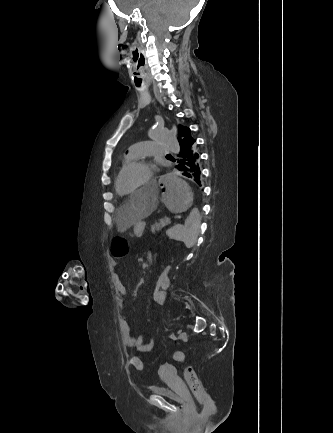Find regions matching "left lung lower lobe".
I'll use <instances>...</instances> for the list:
<instances>
[{"label":"left lung lower lobe","instance_id":"0a47b994","mask_svg":"<svg viewBox=\"0 0 333 433\" xmlns=\"http://www.w3.org/2000/svg\"><path fill=\"white\" fill-rule=\"evenodd\" d=\"M180 152L176 161L175 168L180 171L182 175L190 178L194 182L200 184V166H199V153L196 148V140H184L179 143ZM175 161V160H173Z\"/></svg>","mask_w":333,"mask_h":433}]
</instances>
